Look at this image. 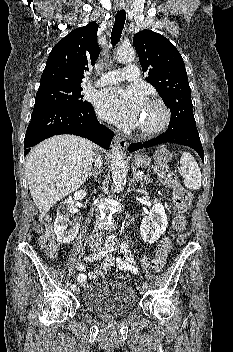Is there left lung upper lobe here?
Masks as SVG:
<instances>
[{
  "label": "left lung upper lobe",
  "instance_id": "5c2ea615",
  "mask_svg": "<svg viewBox=\"0 0 233 352\" xmlns=\"http://www.w3.org/2000/svg\"><path fill=\"white\" fill-rule=\"evenodd\" d=\"M133 44L143 73L148 74L146 81L170 108L168 129L196 128L187 72L179 51L167 38L151 30L136 33Z\"/></svg>",
  "mask_w": 233,
  "mask_h": 352
}]
</instances>
